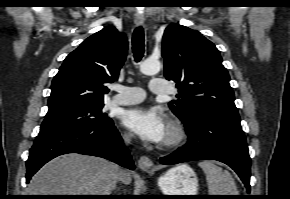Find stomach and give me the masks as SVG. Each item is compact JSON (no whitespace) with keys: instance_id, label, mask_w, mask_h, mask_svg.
<instances>
[{"instance_id":"0dacf381","label":"stomach","mask_w":290,"mask_h":199,"mask_svg":"<svg viewBox=\"0 0 290 199\" xmlns=\"http://www.w3.org/2000/svg\"><path fill=\"white\" fill-rule=\"evenodd\" d=\"M158 184L164 195H196L198 190V178L186 164L167 171Z\"/></svg>"}]
</instances>
